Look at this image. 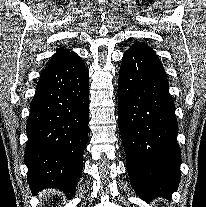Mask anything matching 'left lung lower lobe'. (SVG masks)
Masks as SVG:
<instances>
[{
	"label": "left lung lower lobe",
	"mask_w": 206,
	"mask_h": 207,
	"mask_svg": "<svg viewBox=\"0 0 206 207\" xmlns=\"http://www.w3.org/2000/svg\"><path fill=\"white\" fill-rule=\"evenodd\" d=\"M168 89L156 53L132 45L119 72L118 115L130 182L145 201L170 198L180 181L178 124Z\"/></svg>",
	"instance_id": "1"
}]
</instances>
